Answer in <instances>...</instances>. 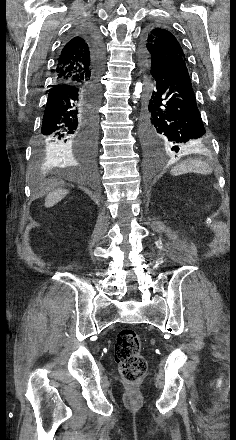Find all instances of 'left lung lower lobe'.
Here are the masks:
<instances>
[{"label":"left lung lower lobe","mask_w":236,"mask_h":440,"mask_svg":"<svg viewBox=\"0 0 236 440\" xmlns=\"http://www.w3.org/2000/svg\"><path fill=\"white\" fill-rule=\"evenodd\" d=\"M151 90L142 122V137L150 155L180 152L208 140L186 61L178 57L147 65Z\"/></svg>","instance_id":"0a47b994"}]
</instances>
